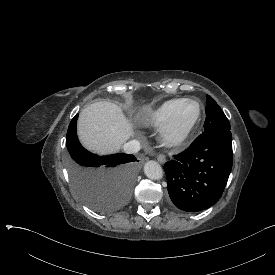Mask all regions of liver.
I'll return each instance as SVG.
<instances>
[{"label":"liver","instance_id":"1","mask_svg":"<svg viewBox=\"0 0 275 275\" xmlns=\"http://www.w3.org/2000/svg\"><path fill=\"white\" fill-rule=\"evenodd\" d=\"M76 129L81 145L100 156L119 153L135 134L134 123L122 107L109 101L94 102L82 109Z\"/></svg>","mask_w":275,"mask_h":275}]
</instances>
